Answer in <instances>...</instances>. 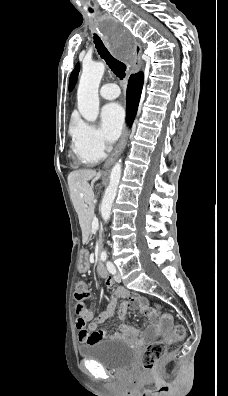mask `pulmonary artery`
Here are the masks:
<instances>
[{
  "mask_svg": "<svg viewBox=\"0 0 228 396\" xmlns=\"http://www.w3.org/2000/svg\"><path fill=\"white\" fill-rule=\"evenodd\" d=\"M120 95L119 87L114 83L104 84L100 88V96L104 99L111 100L115 99Z\"/></svg>",
  "mask_w": 228,
  "mask_h": 396,
  "instance_id": "e3ab8cb5",
  "label": "pulmonary artery"
}]
</instances>
